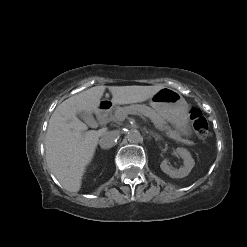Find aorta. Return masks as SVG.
Returning <instances> with one entry per match:
<instances>
[{
	"label": "aorta",
	"instance_id": "762f6f07",
	"mask_svg": "<svg viewBox=\"0 0 247 247\" xmlns=\"http://www.w3.org/2000/svg\"><path fill=\"white\" fill-rule=\"evenodd\" d=\"M127 139L130 143L136 144L143 141V136L137 129H130L127 132Z\"/></svg>",
	"mask_w": 247,
	"mask_h": 247
}]
</instances>
